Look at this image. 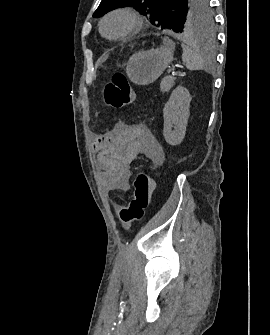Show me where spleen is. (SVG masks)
Segmentation results:
<instances>
[{
	"mask_svg": "<svg viewBox=\"0 0 270 335\" xmlns=\"http://www.w3.org/2000/svg\"><path fill=\"white\" fill-rule=\"evenodd\" d=\"M187 44L186 40H183ZM182 44V60L185 62L186 68L188 70H203L205 58H203L200 50H195V48H190V46H185Z\"/></svg>",
	"mask_w": 270,
	"mask_h": 335,
	"instance_id": "3e777b00",
	"label": "spleen"
}]
</instances>
